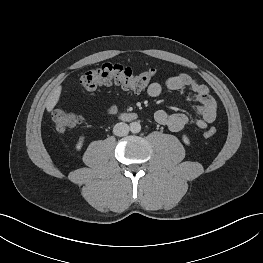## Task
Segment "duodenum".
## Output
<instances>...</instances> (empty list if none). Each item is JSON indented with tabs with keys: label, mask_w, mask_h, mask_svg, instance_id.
<instances>
[{
	"label": "duodenum",
	"mask_w": 263,
	"mask_h": 263,
	"mask_svg": "<svg viewBox=\"0 0 263 263\" xmlns=\"http://www.w3.org/2000/svg\"><path fill=\"white\" fill-rule=\"evenodd\" d=\"M120 118L125 121H130L135 118V115L131 113H125V114H122Z\"/></svg>",
	"instance_id": "1"
}]
</instances>
